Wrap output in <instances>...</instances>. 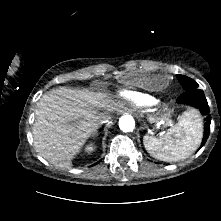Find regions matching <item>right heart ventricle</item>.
Here are the masks:
<instances>
[{
  "instance_id": "e07e8e85",
  "label": "right heart ventricle",
  "mask_w": 221,
  "mask_h": 221,
  "mask_svg": "<svg viewBox=\"0 0 221 221\" xmlns=\"http://www.w3.org/2000/svg\"><path fill=\"white\" fill-rule=\"evenodd\" d=\"M120 96L137 104H149L154 102L152 98L137 91L124 90L120 92Z\"/></svg>"
}]
</instances>
